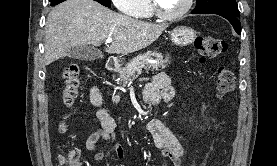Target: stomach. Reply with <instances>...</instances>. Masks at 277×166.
<instances>
[{
  "label": "stomach",
  "mask_w": 277,
  "mask_h": 166,
  "mask_svg": "<svg viewBox=\"0 0 277 166\" xmlns=\"http://www.w3.org/2000/svg\"><path fill=\"white\" fill-rule=\"evenodd\" d=\"M196 34L191 27L179 26L171 32V41L177 46H188L194 42Z\"/></svg>",
  "instance_id": "1"
}]
</instances>
